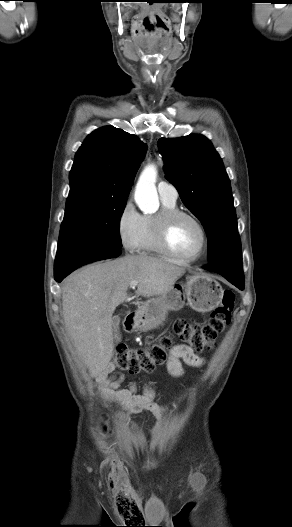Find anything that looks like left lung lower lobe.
Here are the masks:
<instances>
[{
    "label": "left lung lower lobe",
    "mask_w": 292,
    "mask_h": 527,
    "mask_svg": "<svg viewBox=\"0 0 292 527\" xmlns=\"http://www.w3.org/2000/svg\"><path fill=\"white\" fill-rule=\"evenodd\" d=\"M204 269L214 271L240 290L244 289L242 260L226 259L204 266Z\"/></svg>",
    "instance_id": "0a47b994"
}]
</instances>
